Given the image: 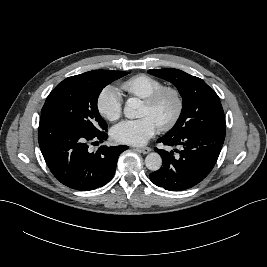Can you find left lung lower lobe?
<instances>
[{
    "label": "left lung lower lobe",
    "mask_w": 267,
    "mask_h": 267,
    "mask_svg": "<svg viewBox=\"0 0 267 267\" xmlns=\"http://www.w3.org/2000/svg\"><path fill=\"white\" fill-rule=\"evenodd\" d=\"M225 130L196 131L181 137L163 136L157 140L168 146L180 145L174 156L155 148L162 156V167L149 175L157 186L169 191H182L201 182L213 169L225 139Z\"/></svg>",
    "instance_id": "1"
}]
</instances>
